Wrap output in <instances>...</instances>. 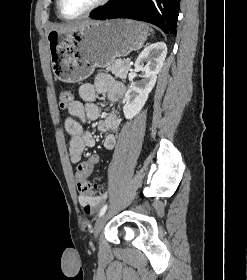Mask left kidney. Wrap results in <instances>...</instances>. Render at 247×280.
Listing matches in <instances>:
<instances>
[{"label":"left kidney","mask_w":247,"mask_h":280,"mask_svg":"<svg viewBox=\"0 0 247 280\" xmlns=\"http://www.w3.org/2000/svg\"><path fill=\"white\" fill-rule=\"evenodd\" d=\"M166 55L167 46L163 42L151 44L139 54L134 66L137 71L143 73V76L140 81L132 82L125 94L123 112L126 119L135 117L145 105L156 83L157 74L164 65Z\"/></svg>","instance_id":"obj_1"}]
</instances>
